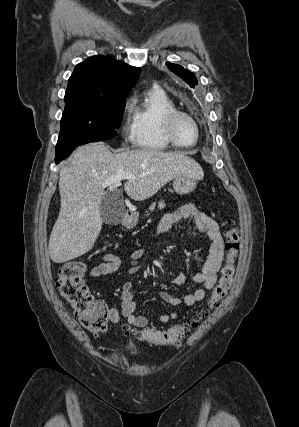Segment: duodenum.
<instances>
[{
	"mask_svg": "<svg viewBox=\"0 0 299 427\" xmlns=\"http://www.w3.org/2000/svg\"><path fill=\"white\" fill-rule=\"evenodd\" d=\"M132 216H133V212L130 211V210L127 211L126 217H125V220H124V224L125 225H128L131 222Z\"/></svg>",
	"mask_w": 299,
	"mask_h": 427,
	"instance_id": "1",
	"label": "duodenum"
}]
</instances>
